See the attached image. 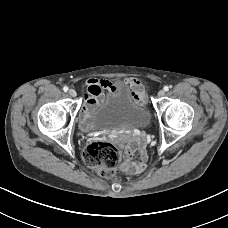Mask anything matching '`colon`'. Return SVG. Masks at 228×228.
<instances>
[{
	"label": "colon",
	"instance_id": "1",
	"mask_svg": "<svg viewBox=\"0 0 228 228\" xmlns=\"http://www.w3.org/2000/svg\"><path fill=\"white\" fill-rule=\"evenodd\" d=\"M121 151L115 145L95 141L89 144L83 154L85 163L99 175L112 176L121 160Z\"/></svg>",
	"mask_w": 228,
	"mask_h": 228
}]
</instances>
